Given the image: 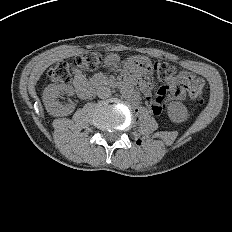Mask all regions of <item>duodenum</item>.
Returning a JSON list of instances; mask_svg holds the SVG:
<instances>
[{
  "label": "duodenum",
  "mask_w": 232,
  "mask_h": 232,
  "mask_svg": "<svg viewBox=\"0 0 232 232\" xmlns=\"http://www.w3.org/2000/svg\"><path fill=\"white\" fill-rule=\"evenodd\" d=\"M117 85L123 86V85H133V86H139L142 88V90H146L147 83L144 81H139L137 78L130 77L126 80H123L121 82H118ZM78 94L85 99L91 98L95 93V87L92 83L84 82L81 85H79L77 88Z\"/></svg>",
  "instance_id": "410a0bca"
}]
</instances>
